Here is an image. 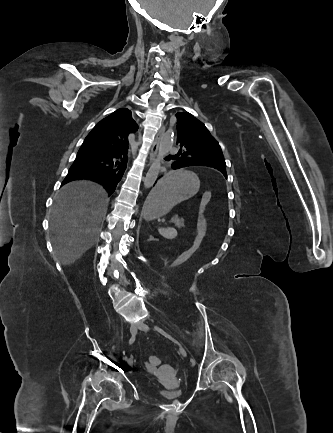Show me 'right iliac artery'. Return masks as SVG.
Listing matches in <instances>:
<instances>
[{"label": "right iliac artery", "instance_id": "obj_1", "mask_svg": "<svg viewBox=\"0 0 333 433\" xmlns=\"http://www.w3.org/2000/svg\"><path fill=\"white\" fill-rule=\"evenodd\" d=\"M135 339H136V334H135V335H132V337H131L130 340H129V344L131 345L132 343H134ZM124 359H125L126 361H129V360H130V359H128L126 356H125Z\"/></svg>", "mask_w": 333, "mask_h": 433}]
</instances>
